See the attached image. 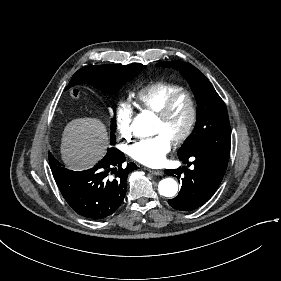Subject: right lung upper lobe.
Instances as JSON below:
<instances>
[{"instance_id":"cb5924a9","label":"right lung upper lobe","mask_w":281,"mask_h":281,"mask_svg":"<svg viewBox=\"0 0 281 281\" xmlns=\"http://www.w3.org/2000/svg\"><path fill=\"white\" fill-rule=\"evenodd\" d=\"M80 83H83V82H80L77 78V75L75 74V75H73V77H72V79H71V81H70V83H69V85L67 86L66 89H68L72 86H75L76 84H80Z\"/></svg>"}]
</instances>
